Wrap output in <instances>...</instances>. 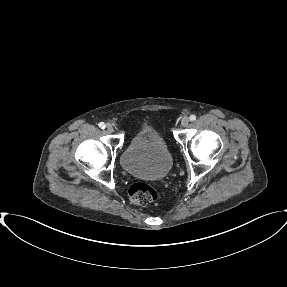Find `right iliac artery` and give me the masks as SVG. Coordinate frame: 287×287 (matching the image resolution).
I'll list each match as a JSON object with an SVG mask.
<instances>
[{"label": "right iliac artery", "mask_w": 287, "mask_h": 287, "mask_svg": "<svg viewBox=\"0 0 287 287\" xmlns=\"http://www.w3.org/2000/svg\"><path fill=\"white\" fill-rule=\"evenodd\" d=\"M98 126H99L101 129H104L106 125H105L104 122H100V123L98 124Z\"/></svg>", "instance_id": "82829eb1"}]
</instances>
